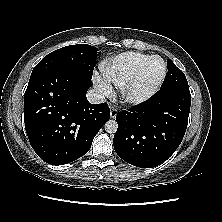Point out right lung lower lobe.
Here are the masks:
<instances>
[{
	"label": "right lung lower lobe",
	"mask_w": 222,
	"mask_h": 222,
	"mask_svg": "<svg viewBox=\"0 0 222 222\" xmlns=\"http://www.w3.org/2000/svg\"><path fill=\"white\" fill-rule=\"evenodd\" d=\"M91 79L71 69L30 77L24 98L25 129L43 161L63 165L80 158L109 120L107 103L93 105L86 98Z\"/></svg>",
	"instance_id": "98d812e1"
}]
</instances>
